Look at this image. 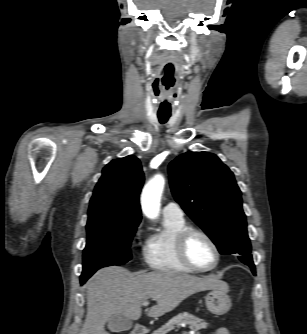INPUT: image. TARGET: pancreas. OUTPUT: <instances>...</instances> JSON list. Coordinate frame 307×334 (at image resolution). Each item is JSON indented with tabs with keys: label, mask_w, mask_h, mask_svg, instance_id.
<instances>
[{
	"label": "pancreas",
	"mask_w": 307,
	"mask_h": 334,
	"mask_svg": "<svg viewBox=\"0 0 307 334\" xmlns=\"http://www.w3.org/2000/svg\"><path fill=\"white\" fill-rule=\"evenodd\" d=\"M182 324L188 325L190 329L198 331L208 326L203 319H200L190 313L184 312L170 319L165 325L155 330L152 334H167Z\"/></svg>",
	"instance_id": "obj_1"
}]
</instances>
